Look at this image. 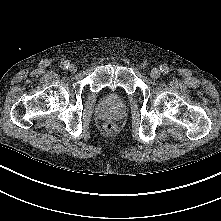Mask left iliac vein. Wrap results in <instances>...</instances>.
<instances>
[{"label":"left iliac vein","instance_id":"obj_1","mask_svg":"<svg viewBox=\"0 0 221 221\" xmlns=\"http://www.w3.org/2000/svg\"><path fill=\"white\" fill-rule=\"evenodd\" d=\"M160 75H161V72H160V70H159L158 68H153V69L151 70V72H150V76H151L152 78H154V79L159 78Z\"/></svg>","mask_w":221,"mask_h":221}]
</instances>
